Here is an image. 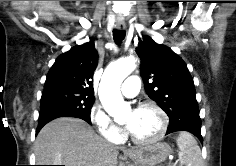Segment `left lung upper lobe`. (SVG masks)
I'll use <instances>...</instances> for the list:
<instances>
[{"instance_id": "5c2ea615", "label": "left lung upper lobe", "mask_w": 236, "mask_h": 166, "mask_svg": "<svg viewBox=\"0 0 236 166\" xmlns=\"http://www.w3.org/2000/svg\"><path fill=\"white\" fill-rule=\"evenodd\" d=\"M139 40L136 51L146 93L165 111L170 122L198 107L194 82L185 62L169 47L148 36Z\"/></svg>"}]
</instances>
